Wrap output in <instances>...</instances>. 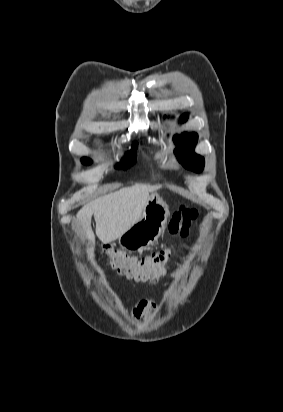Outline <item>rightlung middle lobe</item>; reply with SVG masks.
<instances>
[{"mask_svg":"<svg viewBox=\"0 0 283 412\" xmlns=\"http://www.w3.org/2000/svg\"><path fill=\"white\" fill-rule=\"evenodd\" d=\"M135 150H136V144L132 146L131 151H129L126 154L125 158L123 159V163L126 165V167H130L135 162V153H134ZM82 162L84 164H90L91 160L88 158H83ZM118 167H121V165H119Z\"/></svg>","mask_w":283,"mask_h":412,"instance_id":"dd1d6c3e","label":"right lung middle lobe"}]
</instances>
